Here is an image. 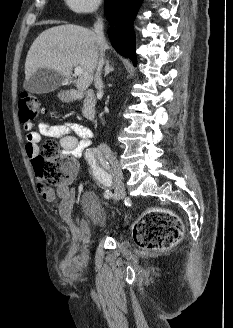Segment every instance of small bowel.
Here are the masks:
<instances>
[{"mask_svg":"<svg viewBox=\"0 0 233 328\" xmlns=\"http://www.w3.org/2000/svg\"><path fill=\"white\" fill-rule=\"evenodd\" d=\"M24 130L27 132L25 151L30 158L36 155L38 144L42 137L57 138L64 156L80 158L90 150L93 136L89 128L71 121L57 125L42 123L39 126L38 132L32 131L31 123H25ZM74 175L75 167L72 176L64 183L58 185L55 190L43 183H38L37 185L40 196L46 202L54 203L57 199H60L59 213L67 222L72 221V210L75 203V190L71 187V181ZM62 267L70 281L75 282L79 279V273L69 256H66L62 260Z\"/></svg>","mask_w":233,"mask_h":328,"instance_id":"small-bowel-1","label":"small bowel"}]
</instances>
